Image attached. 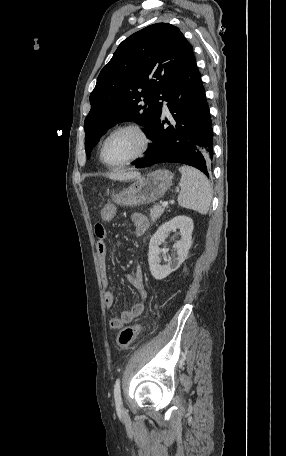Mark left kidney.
Segmentation results:
<instances>
[{"instance_id": "1", "label": "left kidney", "mask_w": 286, "mask_h": 456, "mask_svg": "<svg viewBox=\"0 0 286 456\" xmlns=\"http://www.w3.org/2000/svg\"><path fill=\"white\" fill-rule=\"evenodd\" d=\"M176 229H179L181 234V240L173 246L177 252V257L171 260L165 256L163 257V260L167 262V264L161 265L162 259L159 256V245L165 241L171 231H175ZM192 231L193 220L190 217L180 215L161 225L151 237L149 243L148 262L150 272L156 280L166 278L173 271L178 269L185 261L192 244Z\"/></svg>"}]
</instances>
